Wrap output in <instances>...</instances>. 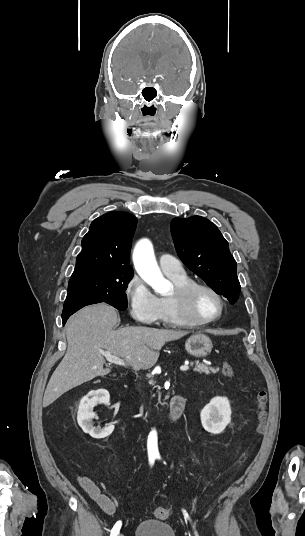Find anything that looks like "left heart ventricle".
I'll return each instance as SVG.
<instances>
[{"instance_id": "obj_1", "label": "left heart ventricle", "mask_w": 305, "mask_h": 536, "mask_svg": "<svg viewBox=\"0 0 305 536\" xmlns=\"http://www.w3.org/2000/svg\"><path fill=\"white\" fill-rule=\"evenodd\" d=\"M221 311V301L207 290H199L190 302V313L194 320H208Z\"/></svg>"}]
</instances>
